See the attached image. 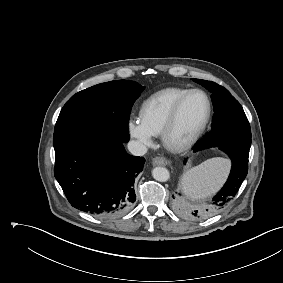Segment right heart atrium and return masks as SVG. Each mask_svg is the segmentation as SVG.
Masks as SVG:
<instances>
[{
  "label": "right heart atrium",
  "instance_id": "d8ad5b80",
  "mask_svg": "<svg viewBox=\"0 0 283 283\" xmlns=\"http://www.w3.org/2000/svg\"><path fill=\"white\" fill-rule=\"evenodd\" d=\"M130 136L137 142L142 149L152 144V135L146 130L140 120L130 118L127 123Z\"/></svg>",
  "mask_w": 283,
  "mask_h": 283
}]
</instances>
